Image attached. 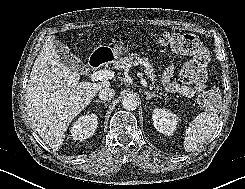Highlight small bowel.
Instances as JSON below:
<instances>
[{
	"label": "small bowel",
	"mask_w": 245,
	"mask_h": 189,
	"mask_svg": "<svg viewBox=\"0 0 245 189\" xmlns=\"http://www.w3.org/2000/svg\"><path fill=\"white\" fill-rule=\"evenodd\" d=\"M172 74H173V67L169 65L165 68L161 77V83L167 91L173 93H179L184 97L190 98L195 96L196 94L201 93L206 89L205 80H202L193 86H180L177 83L171 81Z\"/></svg>",
	"instance_id": "obj_1"
}]
</instances>
